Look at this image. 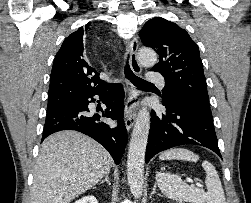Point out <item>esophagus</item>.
<instances>
[{
    "instance_id": "1",
    "label": "esophagus",
    "mask_w": 251,
    "mask_h": 203,
    "mask_svg": "<svg viewBox=\"0 0 251 203\" xmlns=\"http://www.w3.org/2000/svg\"><path fill=\"white\" fill-rule=\"evenodd\" d=\"M138 38L135 36L128 47L129 53V65L132 71L135 74H142V66L139 64L137 60V51H138ZM126 91H127V99L125 104V112H124V120L125 125L128 131H130L133 127L134 120L136 117V106L140 101V92L133 86L130 81H126Z\"/></svg>"
}]
</instances>
